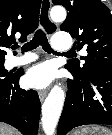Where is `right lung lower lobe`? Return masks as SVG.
I'll list each match as a JSON object with an SVG mask.
<instances>
[{"instance_id": "98d812e1", "label": "right lung lower lobe", "mask_w": 112, "mask_h": 135, "mask_svg": "<svg viewBox=\"0 0 112 135\" xmlns=\"http://www.w3.org/2000/svg\"><path fill=\"white\" fill-rule=\"evenodd\" d=\"M21 74L0 85V121L17 128L23 135H37L41 103L35 90L19 87Z\"/></svg>"}]
</instances>
